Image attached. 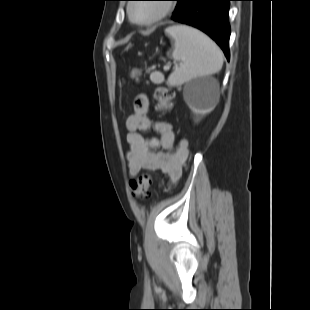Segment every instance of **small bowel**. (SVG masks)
I'll return each mask as SVG.
<instances>
[{"label": "small bowel", "instance_id": "obj_1", "mask_svg": "<svg viewBox=\"0 0 310 310\" xmlns=\"http://www.w3.org/2000/svg\"><path fill=\"white\" fill-rule=\"evenodd\" d=\"M149 96L139 93L134 100L133 112L128 116L127 152L128 173L136 177L141 170L160 171L173 183L182 175L188 157V140L176 139L173 127L167 122H154L149 116ZM155 129L158 138H147L143 134Z\"/></svg>", "mask_w": 310, "mask_h": 310}]
</instances>
